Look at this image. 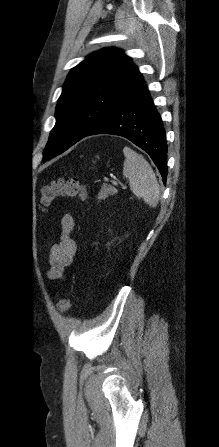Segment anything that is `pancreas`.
Instances as JSON below:
<instances>
[{"mask_svg":"<svg viewBox=\"0 0 219 447\" xmlns=\"http://www.w3.org/2000/svg\"><path fill=\"white\" fill-rule=\"evenodd\" d=\"M117 193L116 188L104 184L98 193V201L105 200L109 195H114Z\"/></svg>","mask_w":219,"mask_h":447,"instance_id":"obj_1","label":"pancreas"}]
</instances>
